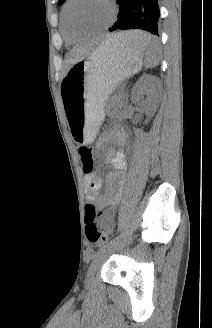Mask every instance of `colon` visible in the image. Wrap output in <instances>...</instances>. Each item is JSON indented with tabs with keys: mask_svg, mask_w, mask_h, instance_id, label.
<instances>
[{
	"mask_svg": "<svg viewBox=\"0 0 212 328\" xmlns=\"http://www.w3.org/2000/svg\"><path fill=\"white\" fill-rule=\"evenodd\" d=\"M79 155L83 165V171L90 173L94 168V160L92 150L88 146H82L79 148ZM99 210L97 206L88 204L85 208L86 226L85 232L88 241L92 244L104 243L106 237L98 224Z\"/></svg>",
	"mask_w": 212,
	"mask_h": 328,
	"instance_id": "obj_1",
	"label": "colon"
}]
</instances>
